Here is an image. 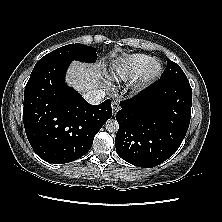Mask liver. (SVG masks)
Masks as SVG:
<instances>
[{"label": "liver", "mask_w": 222, "mask_h": 222, "mask_svg": "<svg viewBox=\"0 0 222 222\" xmlns=\"http://www.w3.org/2000/svg\"><path fill=\"white\" fill-rule=\"evenodd\" d=\"M118 61L124 60L118 58ZM101 75L97 66L74 61L67 71L66 82L78 92L85 94L100 85Z\"/></svg>", "instance_id": "liver-1"}]
</instances>
